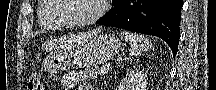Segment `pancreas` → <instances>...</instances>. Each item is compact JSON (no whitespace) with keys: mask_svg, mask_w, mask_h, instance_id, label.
I'll use <instances>...</instances> for the list:
<instances>
[{"mask_svg":"<svg viewBox=\"0 0 216 90\" xmlns=\"http://www.w3.org/2000/svg\"><path fill=\"white\" fill-rule=\"evenodd\" d=\"M100 71L99 67H87L86 70L80 72L82 80H96L98 74L97 72Z\"/></svg>","mask_w":216,"mask_h":90,"instance_id":"pancreas-1","label":"pancreas"}]
</instances>
